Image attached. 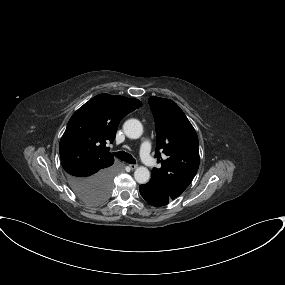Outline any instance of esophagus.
<instances>
[{
	"label": "esophagus",
	"instance_id": "34e87169",
	"mask_svg": "<svg viewBox=\"0 0 285 285\" xmlns=\"http://www.w3.org/2000/svg\"><path fill=\"white\" fill-rule=\"evenodd\" d=\"M129 167H130L132 170H134V169H136L138 166H137L136 164H129Z\"/></svg>",
	"mask_w": 285,
	"mask_h": 285
}]
</instances>
